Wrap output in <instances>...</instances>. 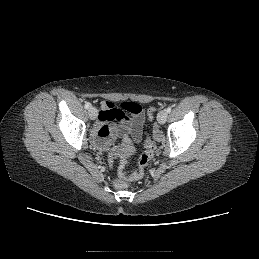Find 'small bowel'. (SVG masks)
Instances as JSON below:
<instances>
[{"label": "small bowel", "mask_w": 259, "mask_h": 259, "mask_svg": "<svg viewBox=\"0 0 259 259\" xmlns=\"http://www.w3.org/2000/svg\"><path fill=\"white\" fill-rule=\"evenodd\" d=\"M134 103V102H133ZM138 111L129 112L114 103L105 101L101 104L96 123V144L99 147H106L111 138L130 137L134 142H139L142 136L144 114L139 104ZM130 114V115H129ZM118 121L117 126H112L111 122Z\"/></svg>", "instance_id": "c3829d8e"}]
</instances>
